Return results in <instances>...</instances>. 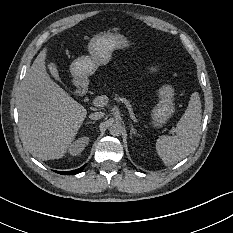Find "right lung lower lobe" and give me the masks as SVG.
I'll return each mask as SVG.
<instances>
[{"mask_svg":"<svg viewBox=\"0 0 233 233\" xmlns=\"http://www.w3.org/2000/svg\"><path fill=\"white\" fill-rule=\"evenodd\" d=\"M85 166H86V165L82 166V167L79 168V169L73 170V171L58 172V173H59V174H63V175L76 174V173L81 172V171L84 169Z\"/></svg>","mask_w":233,"mask_h":233,"instance_id":"right-lung-lower-lobe-1","label":"right lung lower lobe"}]
</instances>
